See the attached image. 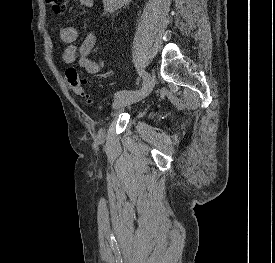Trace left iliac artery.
Returning a JSON list of instances; mask_svg holds the SVG:
<instances>
[{"label": "left iliac artery", "instance_id": "44dca946", "mask_svg": "<svg viewBox=\"0 0 275 263\" xmlns=\"http://www.w3.org/2000/svg\"><path fill=\"white\" fill-rule=\"evenodd\" d=\"M138 72H139V75H140V76L142 77V79H143L142 87H144V86L147 84V82L149 81L150 76H149V74H148L147 72H145V71H143V70H140V71H138ZM136 91H137V90H120V91L116 92L114 96H115L116 98H118V97L123 96V95H125V94L132 93V92H136Z\"/></svg>", "mask_w": 275, "mask_h": 263}]
</instances>
